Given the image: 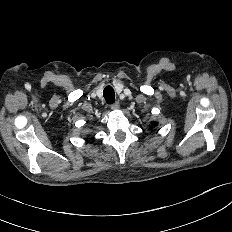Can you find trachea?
Segmentation results:
<instances>
[{"instance_id": "1", "label": "trachea", "mask_w": 232, "mask_h": 232, "mask_svg": "<svg viewBox=\"0 0 232 232\" xmlns=\"http://www.w3.org/2000/svg\"><path fill=\"white\" fill-rule=\"evenodd\" d=\"M103 96L108 104H113L115 102V92L111 86L105 87Z\"/></svg>"}]
</instances>
